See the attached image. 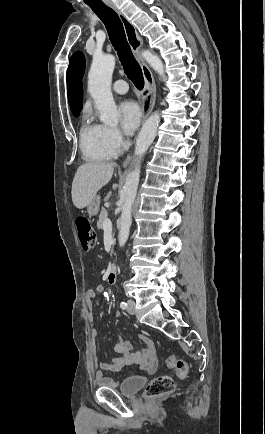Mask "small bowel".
<instances>
[{
    "label": "small bowel",
    "instance_id": "c3829d8e",
    "mask_svg": "<svg viewBox=\"0 0 265 434\" xmlns=\"http://www.w3.org/2000/svg\"><path fill=\"white\" fill-rule=\"evenodd\" d=\"M104 292V286L102 284L96 285L93 289H88L86 291V299L89 311V319L94 320L95 315L92 311V305L97 294ZM115 315L119 318L120 310H115ZM98 329H93L92 338L94 340L98 337ZM141 341L144 343L145 347L141 350L132 353L133 344L123 338H120L117 350L120 352V356L114 358L111 364L104 363L97 356L94 358L95 367L97 369V381L102 387H112L114 385V380L108 378L104 370L116 371L119 370L124 364L130 362L131 360H136L140 362L149 374H153L157 370V357H156V346L155 342L146 334L139 335Z\"/></svg>",
    "mask_w": 265,
    "mask_h": 434
}]
</instances>
